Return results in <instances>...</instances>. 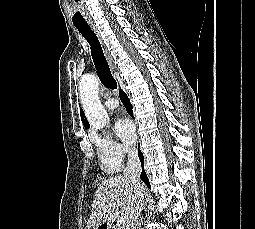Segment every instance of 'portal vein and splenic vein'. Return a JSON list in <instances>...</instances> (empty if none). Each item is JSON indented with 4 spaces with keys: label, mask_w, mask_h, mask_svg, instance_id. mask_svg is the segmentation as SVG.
I'll use <instances>...</instances> for the list:
<instances>
[{
    "label": "portal vein and splenic vein",
    "mask_w": 255,
    "mask_h": 229,
    "mask_svg": "<svg viewBox=\"0 0 255 229\" xmlns=\"http://www.w3.org/2000/svg\"><path fill=\"white\" fill-rule=\"evenodd\" d=\"M124 222V217L123 216H118L117 217V224H122Z\"/></svg>",
    "instance_id": "portal-vein-and-splenic-vein-1"
}]
</instances>
